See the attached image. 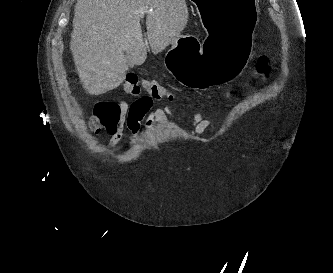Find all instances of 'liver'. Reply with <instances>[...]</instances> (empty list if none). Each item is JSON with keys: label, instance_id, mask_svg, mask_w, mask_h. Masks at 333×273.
<instances>
[{"label": "liver", "instance_id": "obj_1", "mask_svg": "<svg viewBox=\"0 0 333 273\" xmlns=\"http://www.w3.org/2000/svg\"><path fill=\"white\" fill-rule=\"evenodd\" d=\"M147 7V38L156 55L186 27L185 0H78L70 49L83 88L100 95L126 77V57L142 65L147 58L139 13ZM152 9V11H150Z\"/></svg>", "mask_w": 333, "mask_h": 273}]
</instances>
